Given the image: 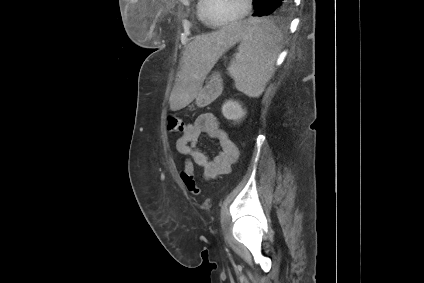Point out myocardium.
Here are the masks:
<instances>
[{
	"instance_id": "f54148a6",
	"label": "myocardium",
	"mask_w": 424,
	"mask_h": 283,
	"mask_svg": "<svg viewBox=\"0 0 424 283\" xmlns=\"http://www.w3.org/2000/svg\"><path fill=\"white\" fill-rule=\"evenodd\" d=\"M244 3H245V8H244L243 12L239 16H237V17H235V18H233L231 20L222 22V23H213L209 19V15H208V9H209L210 0H204V6H203V19H204V22L208 26L213 27V28L223 27V26H227V25H231L233 23H236V22L244 19L251 12V9H252V0H244Z\"/></svg>"
}]
</instances>
